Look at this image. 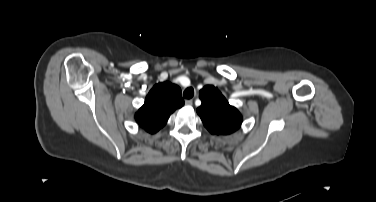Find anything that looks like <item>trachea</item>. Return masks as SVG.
<instances>
[{
	"instance_id": "1",
	"label": "trachea",
	"mask_w": 376,
	"mask_h": 202,
	"mask_svg": "<svg viewBox=\"0 0 376 202\" xmlns=\"http://www.w3.org/2000/svg\"><path fill=\"white\" fill-rule=\"evenodd\" d=\"M193 96H194V89H193L192 87L187 88V89L183 92V97H184L185 99H191Z\"/></svg>"
}]
</instances>
